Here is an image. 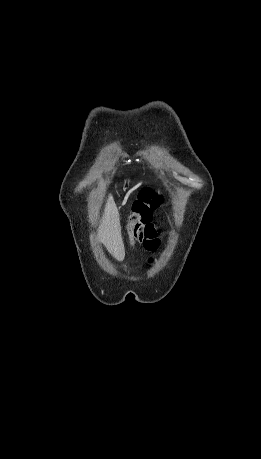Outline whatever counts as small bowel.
Returning a JSON list of instances; mask_svg holds the SVG:
<instances>
[{"label":"small bowel","instance_id":"small-bowel-1","mask_svg":"<svg viewBox=\"0 0 261 459\" xmlns=\"http://www.w3.org/2000/svg\"><path fill=\"white\" fill-rule=\"evenodd\" d=\"M151 218V217H150ZM134 239L140 241L144 248L149 252H155L160 246L159 238H139L137 234L134 235Z\"/></svg>","mask_w":261,"mask_h":459}]
</instances>
